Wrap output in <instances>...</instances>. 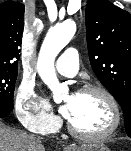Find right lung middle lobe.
Returning <instances> with one entry per match:
<instances>
[{
	"mask_svg": "<svg viewBox=\"0 0 131 151\" xmlns=\"http://www.w3.org/2000/svg\"><path fill=\"white\" fill-rule=\"evenodd\" d=\"M17 68H0V109L13 110Z\"/></svg>",
	"mask_w": 131,
	"mask_h": 151,
	"instance_id": "dd1d6c3e",
	"label": "right lung middle lobe"
}]
</instances>
